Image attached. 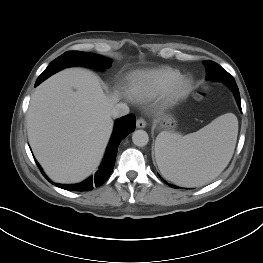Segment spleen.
I'll return each instance as SVG.
<instances>
[{"mask_svg": "<svg viewBox=\"0 0 263 263\" xmlns=\"http://www.w3.org/2000/svg\"><path fill=\"white\" fill-rule=\"evenodd\" d=\"M237 135L238 120L232 113L221 115L185 136L163 131L155 142L159 170L166 179L180 186L205 185L228 165Z\"/></svg>", "mask_w": 263, "mask_h": 263, "instance_id": "spleen-1", "label": "spleen"}]
</instances>
